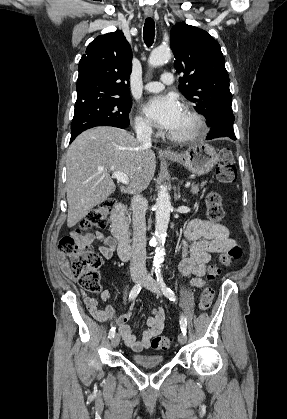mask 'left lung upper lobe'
Wrapping results in <instances>:
<instances>
[{
    "instance_id": "1",
    "label": "left lung upper lobe",
    "mask_w": 287,
    "mask_h": 419,
    "mask_svg": "<svg viewBox=\"0 0 287 419\" xmlns=\"http://www.w3.org/2000/svg\"><path fill=\"white\" fill-rule=\"evenodd\" d=\"M170 46L175 55L174 67L183 73L179 90L211 124L221 110L232 105L219 43L206 31L179 23L171 30Z\"/></svg>"
}]
</instances>
